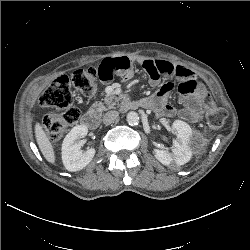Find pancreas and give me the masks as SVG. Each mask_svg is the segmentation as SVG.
<instances>
[{
	"instance_id": "cf45deb5",
	"label": "pancreas",
	"mask_w": 250,
	"mask_h": 250,
	"mask_svg": "<svg viewBox=\"0 0 250 250\" xmlns=\"http://www.w3.org/2000/svg\"><path fill=\"white\" fill-rule=\"evenodd\" d=\"M116 105V101L112 97L105 99V105L102 102H96L93 104L92 108L101 115L103 111L113 109Z\"/></svg>"
}]
</instances>
